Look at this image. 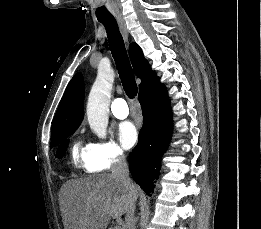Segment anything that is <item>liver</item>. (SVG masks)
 <instances>
[{
  "mask_svg": "<svg viewBox=\"0 0 261 229\" xmlns=\"http://www.w3.org/2000/svg\"><path fill=\"white\" fill-rule=\"evenodd\" d=\"M65 187L64 223L67 229H107L109 221L127 213L138 191L112 175L71 179Z\"/></svg>",
  "mask_w": 261,
  "mask_h": 229,
  "instance_id": "obj_1",
  "label": "liver"
}]
</instances>
